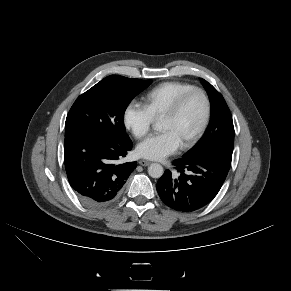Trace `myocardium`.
<instances>
[{"instance_id": "obj_1", "label": "myocardium", "mask_w": 291, "mask_h": 291, "mask_svg": "<svg viewBox=\"0 0 291 291\" xmlns=\"http://www.w3.org/2000/svg\"><path fill=\"white\" fill-rule=\"evenodd\" d=\"M195 94L200 95L204 101V114H203L202 121L199 127L197 128V130L195 131V133L185 143L181 144V149L183 150H187L193 147L197 143V141L200 139V137L203 135V133L205 132L209 124L211 111H212L211 100L209 98V95L207 94L205 90L194 87L190 89L189 91L183 93L181 96H179L162 115V118L175 117L180 112L184 104L188 101V99Z\"/></svg>"}]
</instances>
